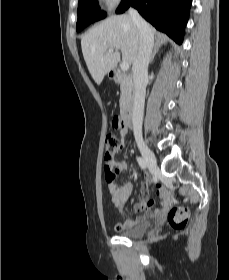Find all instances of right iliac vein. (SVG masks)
<instances>
[{"label": "right iliac vein", "mask_w": 229, "mask_h": 280, "mask_svg": "<svg viewBox=\"0 0 229 280\" xmlns=\"http://www.w3.org/2000/svg\"><path fill=\"white\" fill-rule=\"evenodd\" d=\"M137 144L145 162L147 163L149 170L151 171V173H155L158 170V166L153 152L142 140H139Z\"/></svg>", "instance_id": "63e3f726"}]
</instances>
